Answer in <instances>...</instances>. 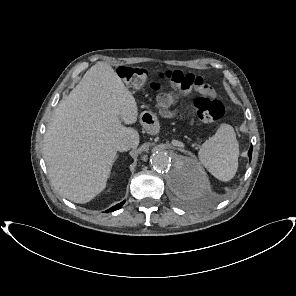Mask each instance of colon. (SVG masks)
Segmentation results:
<instances>
[{
  "mask_svg": "<svg viewBox=\"0 0 296 296\" xmlns=\"http://www.w3.org/2000/svg\"><path fill=\"white\" fill-rule=\"evenodd\" d=\"M120 76L126 86L132 90L141 88L148 79V71L144 68L121 67ZM160 78L167 79L173 87L180 93L197 90L201 93H209V86L203 77L182 71H168L162 73ZM192 109L199 121L210 123L219 120L225 112L224 105L217 99L205 96L196 98L192 103Z\"/></svg>",
  "mask_w": 296,
  "mask_h": 296,
  "instance_id": "colon-1",
  "label": "colon"
}]
</instances>
